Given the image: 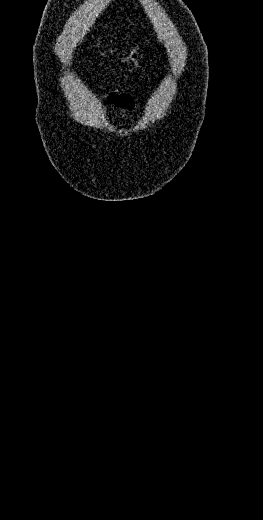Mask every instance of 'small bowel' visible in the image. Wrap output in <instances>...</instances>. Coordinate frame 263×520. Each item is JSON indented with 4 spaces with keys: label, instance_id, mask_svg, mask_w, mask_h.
<instances>
[{
    "label": "small bowel",
    "instance_id": "c3829d8e",
    "mask_svg": "<svg viewBox=\"0 0 263 520\" xmlns=\"http://www.w3.org/2000/svg\"><path fill=\"white\" fill-rule=\"evenodd\" d=\"M108 101L122 110H129L134 106L132 97L125 93L112 92L108 95Z\"/></svg>",
    "mask_w": 263,
    "mask_h": 520
}]
</instances>
